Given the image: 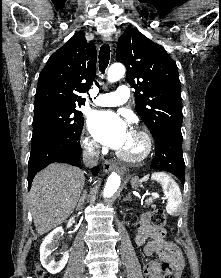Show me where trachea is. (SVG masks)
<instances>
[{"label": "trachea", "mask_w": 221, "mask_h": 278, "mask_svg": "<svg viewBox=\"0 0 221 278\" xmlns=\"http://www.w3.org/2000/svg\"><path fill=\"white\" fill-rule=\"evenodd\" d=\"M110 59V47L108 44H104L101 46L99 51V68L102 73L105 72V69L108 66Z\"/></svg>", "instance_id": "obj_1"}]
</instances>
